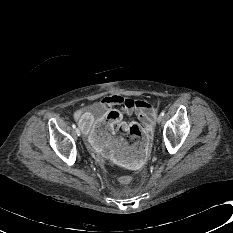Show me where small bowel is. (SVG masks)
Instances as JSON below:
<instances>
[{"mask_svg":"<svg viewBox=\"0 0 233 233\" xmlns=\"http://www.w3.org/2000/svg\"><path fill=\"white\" fill-rule=\"evenodd\" d=\"M97 107L106 108V115L85 113L78 119L94 151L97 154L105 153L107 161L111 164L121 165L124 168L140 167L150 148L147 137L138 136L133 142L126 143L100 131L99 128L106 123L113 134L118 133L121 127L127 128L128 123L123 121L122 112L117 109L120 107L124 112L134 114L149 131L157 109L144 100L124 98L115 94L103 97Z\"/></svg>","mask_w":233,"mask_h":233,"instance_id":"1","label":"small bowel"}]
</instances>
